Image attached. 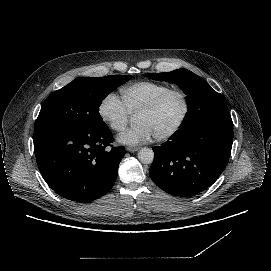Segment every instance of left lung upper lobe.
<instances>
[{
  "instance_id": "5c2ea615",
  "label": "left lung upper lobe",
  "mask_w": 271,
  "mask_h": 271,
  "mask_svg": "<svg viewBox=\"0 0 271 271\" xmlns=\"http://www.w3.org/2000/svg\"><path fill=\"white\" fill-rule=\"evenodd\" d=\"M146 77L154 80L173 82L187 95L188 114L180 131L208 121L232 123V119L221 94L213 90L201 77L186 69L167 73H148Z\"/></svg>"
}]
</instances>
